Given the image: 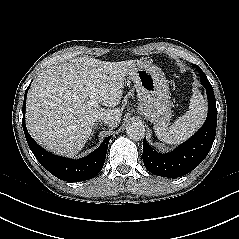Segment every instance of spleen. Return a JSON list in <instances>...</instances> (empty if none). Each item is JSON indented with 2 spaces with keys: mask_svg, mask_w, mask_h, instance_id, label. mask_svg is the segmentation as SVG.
<instances>
[{
  "mask_svg": "<svg viewBox=\"0 0 239 239\" xmlns=\"http://www.w3.org/2000/svg\"><path fill=\"white\" fill-rule=\"evenodd\" d=\"M206 102L198 91H194L190 99L189 110L169 126H154L159 140L176 145L191 137L203 124L206 118Z\"/></svg>",
  "mask_w": 239,
  "mask_h": 239,
  "instance_id": "obj_1",
  "label": "spleen"
}]
</instances>
